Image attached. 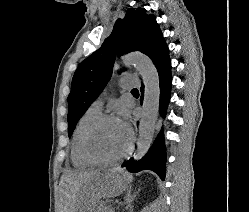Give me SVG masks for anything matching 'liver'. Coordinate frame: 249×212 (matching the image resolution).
Segmentation results:
<instances>
[{"instance_id": "obj_1", "label": "liver", "mask_w": 249, "mask_h": 212, "mask_svg": "<svg viewBox=\"0 0 249 212\" xmlns=\"http://www.w3.org/2000/svg\"><path fill=\"white\" fill-rule=\"evenodd\" d=\"M130 174L125 172L123 168L116 170H106L104 174L99 172H71L66 178L68 184V212H77L79 208V196H81V188L86 182H93V196L96 198H116L128 188V180Z\"/></svg>"}]
</instances>
